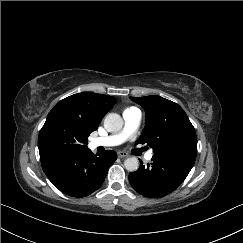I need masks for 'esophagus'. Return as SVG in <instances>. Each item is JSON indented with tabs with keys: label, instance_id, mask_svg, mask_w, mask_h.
Returning <instances> with one entry per match:
<instances>
[{
	"label": "esophagus",
	"instance_id": "esophagus-1",
	"mask_svg": "<svg viewBox=\"0 0 243 243\" xmlns=\"http://www.w3.org/2000/svg\"><path fill=\"white\" fill-rule=\"evenodd\" d=\"M118 157L120 158H125L128 157V153L124 152V151H118Z\"/></svg>",
	"mask_w": 243,
	"mask_h": 243
}]
</instances>
